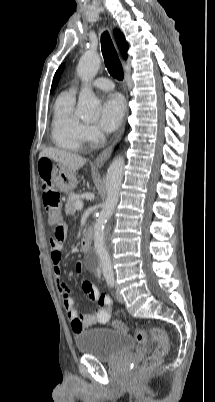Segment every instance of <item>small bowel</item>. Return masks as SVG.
Segmentation results:
<instances>
[{
    "label": "small bowel",
    "instance_id": "1",
    "mask_svg": "<svg viewBox=\"0 0 215 402\" xmlns=\"http://www.w3.org/2000/svg\"><path fill=\"white\" fill-rule=\"evenodd\" d=\"M67 237V228L60 225L55 229V236L49 240L50 258L52 262V269L55 276L56 285L61 296L67 316L71 321L72 330L75 333L82 331L84 328L94 325L96 323L105 324L109 321L112 305V299L101 294L99 289L89 281H83L81 288L83 293L94 302H97L99 307L93 315L86 314L80 315L74 304L66 283L61 277L60 263L62 260L63 244ZM83 268L82 262L76 263V270L81 272Z\"/></svg>",
    "mask_w": 215,
    "mask_h": 402
}]
</instances>
